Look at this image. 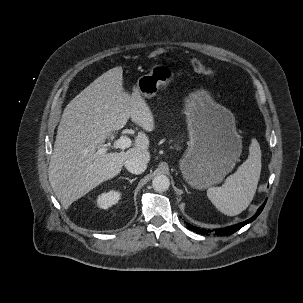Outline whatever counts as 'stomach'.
Wrapping results in <instances>:
<instances>
[{"instance_id":"stomach-1","label":"stomach","mask_w":303,"mask_h":303,"mask_svg":"<svg viewBox=\"0 0 303 303\" xmlns=\"http://www.w3.org/2000/svg\"><path fill=\"white\" fill-rule=\"evenodd\" d=\"M173 80L169 67L155 64L138 79L137 88L141 96L152 98L161 85ZM184 105L189 142L179 167L189 185L206 189L232 171L242 153V139L232 112L214 102L206 90L191 92Z\"/></svg>"}]
</instances>
